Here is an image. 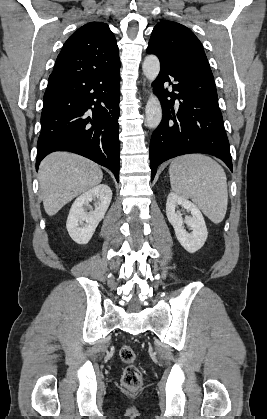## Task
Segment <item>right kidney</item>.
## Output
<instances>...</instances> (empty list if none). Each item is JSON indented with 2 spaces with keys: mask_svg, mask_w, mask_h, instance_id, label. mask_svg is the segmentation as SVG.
<instances>
[{
  "mask_svg": "<svg viewBox=\"0 0 267 419\" xmlns=\"http://www.w3.org/2000/svg\"><path fill=\"white\" fill-rule=\"evenodd\" d=\"M111 199V188L106 184H100L84 192L74 201L66 222L73 241L78 244H87L90 241L99 222L104 218ZM92 201H95V209L85 211V207L91 209Z\"/></svg>",
  "mask_w": 267,
  "mask_h": 419,
  "instance_id": "right-kidney-1",
  "label": "right kidney"
}]
</instances>
